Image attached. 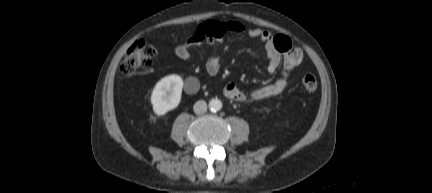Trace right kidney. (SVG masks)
Masks as SVG:
<instances>
[{
    "mask_svg": "<svg viewBox=\"0 0 432 193\" xmlns=\"http://www.w3.org/2000/svg\"><path fill=\"white\" fill-rule=\"evenodd\" d=\"M183 79L176 74L162 78L151 94V104L156 115L162 116L175 109L181 100Z\"/></svg>",
    "mask_w": 432,
    "mask_h": 193,
    "instance_id": "ca27d5eb",
    "label": "right kidney"
}]
</instances>
